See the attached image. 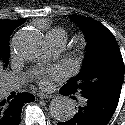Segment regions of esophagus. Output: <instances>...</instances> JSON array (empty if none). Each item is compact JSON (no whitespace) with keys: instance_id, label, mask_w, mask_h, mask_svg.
I'll return each mask as SVG.
<instances>
[{"instance_id":"esophagus-1","label":"esophagus","mask_w":125,"mask_h":125,"mask_svg":"<svg viewBox=\"0 0 125 125\" xmlns=\"http://www.w3.org/2000/svg\"><path fill=\"white\" fill-rule=\"evenodd\" d=\"M38 97H39L40 99H51V98H53L54 96L51 95V94H47V93L40 92V93H38Z\"/></svg>"}]
</instances>
